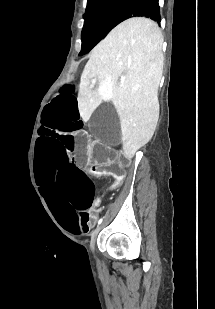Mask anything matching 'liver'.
<instances>
[{"instance_id": "1", "label": "liver", "mask_w": 215, "mask_h": 309, "mask_svg": "<svg viewBox=\"0 0 215 309\" xmlns=\"http://www.w3.org/2000/svg\"><path fill=\"white\" fill-rule=\"evenodd\" d=\"M162 44L157 22L145 16L127 18L94 46L81 74L78 104L84 122L102 100H112L120 118L126 159H132L150 140L157 124ZM91 78L98 80L96 90L90 86Z\"/></svg>"}]
</instances>
